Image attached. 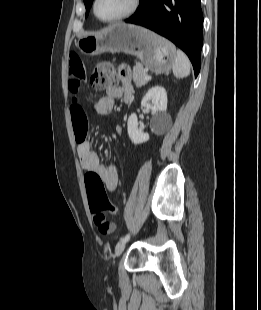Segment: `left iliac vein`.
<instances>
[{"instance_id": "4c4485c4", "label": "left iliac vein", "mask_w": 261, "mask_h": 310, "mask_svg": "<svg viewBox=\"0 0 261 310\" xmlns=\"http://www.w3.org/2000/svg\"><path fill=\"white\" fill-rule=\"evenodd\" d=\"M126 243H127V241L125 242V241L120 239V241L118 242V244L116 245V248H115V256L116 257H119L122 254V252L124 251V248L126 246Z\"/></svg>"}]
</instances>
